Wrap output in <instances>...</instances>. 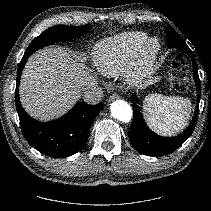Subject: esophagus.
<instances>
[{
    "label": "esophagus",
    "instance_id": "1",
    "mask_svg": "<svg viewBox=\"0 0 211 211\" xmlns=\"http://www.w3.org/2000/svg\"><path fill=\"white\" fill-rule=\"evenodd\" d=\"M119 98V95L118 94H112L110 95V97L108 98V101H112V100H115V99H118Z\"/></svg>",
    "mask_w": 211,
    "mask_h": 211
}]
</instances>
